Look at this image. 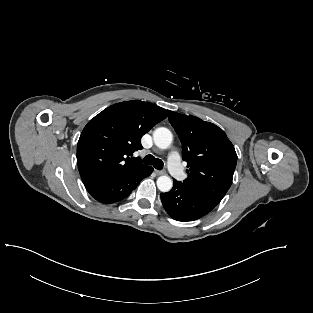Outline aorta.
<instances>
[{"mask_svg": "<svg viewBox=\"0 0 313 313\" xmlns=\"http://www.w3.org/2000/svg\"><path fill=\"white\" fill-rule=\"evenodd\" d=\"M155 145L160 149H167L173 140L172 133L165 127L157 128L153 133ZM173 182L168 176H160L157 179V187L161 192H168L172 189Z\"/></svg>", "mask_w": 313, "mask_h": 313, "instance_id": "aorta-1", "label": "aorta"}]
</instances>
